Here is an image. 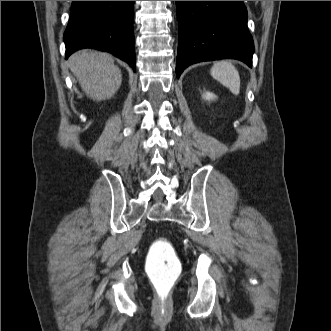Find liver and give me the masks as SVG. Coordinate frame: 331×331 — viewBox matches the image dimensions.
Returning a JSON list of instances; mask_svg holds the SVG:
<instances>
[{
    "label": "liver",
    "instance_id": "obj_1",
    "mask_svg": "<svg viewBox=\"0 0 331 331\" xmlns=\"http://www.w3.org/2000/svg\"><path fill=\"white\" fill-rule=\"evenodd\" d=\"M68 63L82 90L93 100L111 98L122 83L121 71L107 53L80 50L70 56Z\"/></svg>",
    "mask_w": 331,
    "mask_h": 331
}]
</instances>
